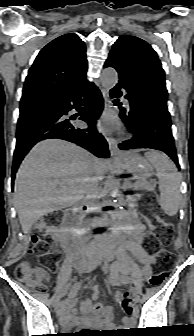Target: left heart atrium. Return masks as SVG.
Listing matches in <instances>:
<instances>
[{"instance_id":"1","label":"left heart atrium","mask_w":194,"mask_h":336,"mask_svg":"<svg viewBox=\"0 0 194 336\" xmlns=\"http://www.w3.org/2000/svg\"><path fill=\"white\" fill-rule=\"evenodd\" d=\"M99 125L103 130L111 131L116 128L117 121L114 117L107 115L100 121Z\"/></svg>"}]
</instances>
